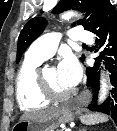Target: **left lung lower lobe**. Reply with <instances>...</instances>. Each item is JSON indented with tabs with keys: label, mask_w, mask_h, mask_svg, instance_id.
Wrapping results in <instances>:
<instances>
[{
	"label": "left lung lower lobe",
	"mask_w": 117,
	"mask_h": 131,
	"mask_svg": "<svg viewBox=\"0 0 117 131\" xmlns=\"http://www.w3.org/2000/svg\"><path fill=\"white\" fill-rule=\"evenodd\" d=\"M91 32L98 37L96 40L99 43L98 48H102L101 55L96 58V62L99 63L103 60L111 73L112 90L106 101L97 106L99 65L95 64L93 67L87 68V86L93 87V99L88 108L110 115L117 125V11L110 2L102 10L98 23Z\"/></svg>",
	"instance_id": "1"
}]
</instances>
